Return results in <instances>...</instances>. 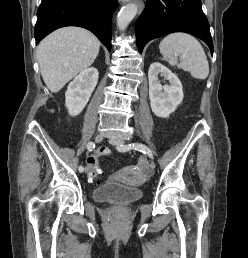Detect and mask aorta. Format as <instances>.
I'll use <instances>...</instances> for the list:
<instances>
[{"mask_svg": "<svg viewBox=\"0 0 248 258\" xmlns=\"http://www.w3.org/2000/svg\"><path fill=\"white\" fill-rule=\"evenodd\" d=\"M138 7L136 4H128L124 6L117 16V26L120 31H124L129 23L137 14Z\"/></svg>", "mask_w": 248, "mask_h": 258, "instance_id": "obj_1", "label": "aorta"}]
</instances>
